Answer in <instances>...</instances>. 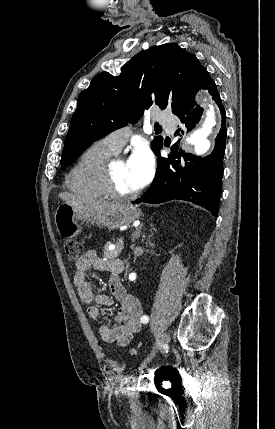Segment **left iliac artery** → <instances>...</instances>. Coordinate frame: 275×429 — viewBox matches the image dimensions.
<instances>
[{
	"label": "left iliac artery",
	"mask_w": 275,
	"mask_h": 429,
	"mask_svg": "<svg viewBox=\"0 0 275 429\" xmlns=\"http://www.w3.org/2000/svg\"><path fill=\"white\" fill-rule=\"evenodd\" d=\"M149 321V317L147 315H144L141 317V323L146 324Z\"/></svg>",
	"instance_id": "left-iliac-artery-1"
}]
</instances>
